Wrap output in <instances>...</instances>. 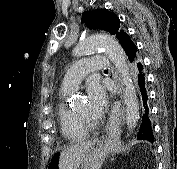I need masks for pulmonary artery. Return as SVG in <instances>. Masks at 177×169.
Returning a JSON list of instances; mask_svg holds the SVG:
<instances>
[{"instance_id":"1","label":"pulmonary artery","mask_w":177,"mask_h":169,"mask_svg":"<svg viewBox=\"0 0 177 169\" xmlns=\"http://www.w3.org/2000/svg\"><path fill=\"white\" fill-rule=\"evenodd\" d=\"M109 65L110 61L105 56L86 57L78 60L66 72L62 81V89L66 91L76 90L86 74L103 71Z\"/></svg>"}]
</instances>
